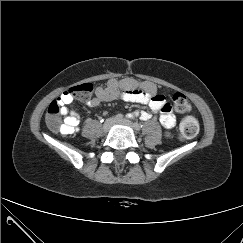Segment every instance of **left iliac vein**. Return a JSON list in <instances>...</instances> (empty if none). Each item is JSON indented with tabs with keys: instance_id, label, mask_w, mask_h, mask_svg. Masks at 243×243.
<instances>
[{
	"instance_id": "4c4485c4",
	"label": "left iliac vein",
	"mask_w": 243,
	"mask_h": 243,
	"mask_svg": "<svg viewBox=\"0 0 243 243\" xmlns=\"http://www.w3.org/2000/svg\"><path fill=\"white\" fill-rule=\"evenodd\" d=\"M116 124H120V125H125L128 127H131L132 129H134L135 131H137L138 129L134 126V124L128 120V119H121V120H117Z\"/></svg>"
}]
</instances>
